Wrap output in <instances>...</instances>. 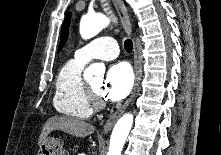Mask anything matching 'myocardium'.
Masks as SVG:
<instances>
[{
	"mask_svg": "<svg viewBox=\"0 0 221 155\" xmlns=\"http://www.w3.org/2000/svg\"><path fill=\"white\" fill-rule=\"evenodd\" d=\"M84 91L92 110H99L104 107L105 103L101 96L98 95L87 82H84Z\"/></svg>",
	"mask_w": 221,
	"mask_h": 155,
	"instance_id": "obj_1",
	"label": "myocardium"
}]
</instances>
